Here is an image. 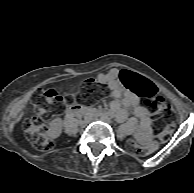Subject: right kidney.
I'll list each match as a JSON object with an SVG mask.
<instances>
[{"instance_id": "right-kidney-1", "label": "right kidney", "mask_w": 194, "mask_h": 193, "mask_svg": "<svg viewBox=\"0 0 194 193\" xmlns=\"http://www.w3.org/2000/svg\"><path fill=\"white\" fill-rule=\"evenodd\" d=\"M50 134L53 138H57L61 134V124L60 121L55 120L50 129Z\"/></svg>"}]
</instances>
